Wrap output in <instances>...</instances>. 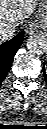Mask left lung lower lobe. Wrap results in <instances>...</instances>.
Segmentation results:
<instances>
[{"mask_svg": "<svg viewBox=\"0 0 47 129\" xmlns=\"http://www.w3.org/2000/svg\"><path fill=\"white\" fill-rule=\"evenodd\" d=\"M43 74H44V77H45V79H46V82H47V75H46V72H45L44 65H43Z\"/></svg>", "mask_w": 47, "mask_h": 129, "instance_id": "1", "label": "left lung lower lobe"}]
</instances>
